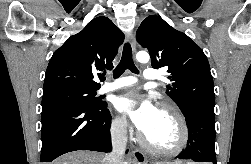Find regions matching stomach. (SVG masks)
Returning <instances> with one entry per match:
<instances>
[{
  "label": "stomach",
  "mask_w": 251,
  "mask_h": 164,
  "mask_svg": "<svg viewBox=\"0 0 251 164\" xmlns=\"http://www.w3.org/2000/svg\"><path fill=\"white\" fill-rule=\"evenodd\" d=\"M174 163V162H173ZM153 164H172V163H165V162H156V163H153ZM180 164H185V163H180ZM187 164V163H186Z\"/></svg>",
  "instance_id": "obj_1"
}]
</instances>
